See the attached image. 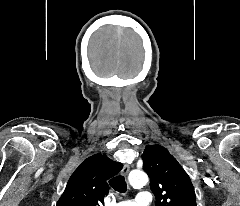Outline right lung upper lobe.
I'll use <instances>...</instances> for the list:
<instances>
[{
	"mask_svg": "<svg viewBox=\"0 0 240 206\" xmlns=\"http://www.w3.org/2000/svg\"><path fill=\"white\" fill-rule=\"evenodd\" d=\"M122 167L104 154L87 158L70 177L56 206H100L109 190L107 180Z\"/></svg>",
	"mask_w": 240,
	"mask_h": 206,
	"instance_id": "1",
	"label": "right lung upper lobe"
}]
</instances>
